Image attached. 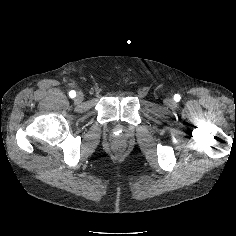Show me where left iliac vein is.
Segmentation results:
<instances>
[{
	"label": "left iliac vein",
	"mask_w": 236,
	"mask_h": 236,
	"mask_svg": "<svg viewBox=\"0 0 236 236\" xmlns=\"http://www.w3.org/2000/svg\"><path fill=\"white\" fill-rule=\"evenodd\" d=\"M164 104L168 107H173L175 105V102L172 99H165Z\"/></svg>",
	"instance_id": "1"
}]
</instances>
